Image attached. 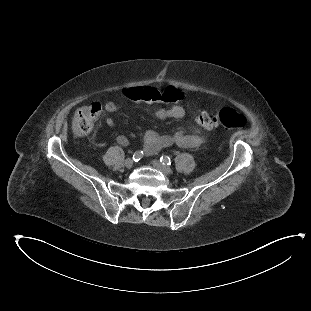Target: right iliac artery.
<instances>
[{"label": "right iliac artery", "mask_w": 311, "mask_h": 311, "mask_svg": "<svg viewBox=\"0 0 311 311\" xmlns=\"http://www.w3.org/2000/svg\"><path fill=\"white\" fill-rule=\"evenodd\" d=\"M143 155H144V153H143V151H136L134 154H133V156H132V159L135 161V162H137V161H139L142 157H143Z\"/></svg>", "instance_id": "82829eb1"}]
</instances>
